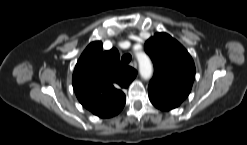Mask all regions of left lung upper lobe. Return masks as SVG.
<instances>
[{"label": "left lung upper lobe", "instance_id": "1", "mask_svg": "<svg viewBox=\"0 0 247 145\" xmlns=\"http://www.w3.org/2000/svg\"><path fill=\"white\" fill-rule=\"evenodd\" d=\"M154 64L149 87L185 99L195 78V65L187 50L167 33H156L145 43Z\"/></svg>", "mask_w": 247, "mask_h": 145}]
</instances>
